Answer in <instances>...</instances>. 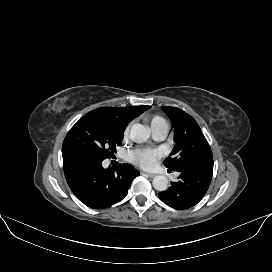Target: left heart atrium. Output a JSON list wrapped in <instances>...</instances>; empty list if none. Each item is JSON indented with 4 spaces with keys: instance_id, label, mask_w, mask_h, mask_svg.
<instances>
[{
    "instance_id": "1",
    "label": "left heart atrium",
    "mask_w": 272,
    "mask_h": 272,
    "mask_svg": "<svg viewBox=\"0 0 272 272\" xmlns=\"http://www.w3.org/2000/svg\"><path fill=\"white\" fill-rule=\"evenodd\" d=\"M160 158V152L156 149H136L132 152V160L142 168L153 167Z\"/></svg>"
}]
</instances>
